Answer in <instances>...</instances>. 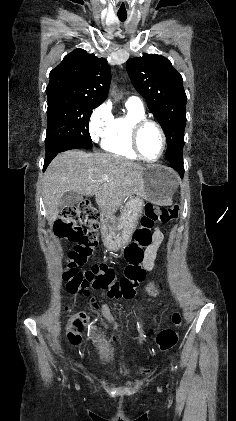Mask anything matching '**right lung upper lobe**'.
<instances>
[{"mask_svg":"<svg viewBox=\"0 0 236 421\" xmlns=\"http://www.w3.org/2000/svg\"><path fill=\"white\" fill-rule=\"evenodd\" d=\"M110 81L111 71L106 59L78 48L50 72L46 93L47 96L67 95L103 103Z\"/></svg>","mask_w":236,"mask_h":421,"instance_id":"obj_1","label":"right lung upper lobe"}]
</instances>
